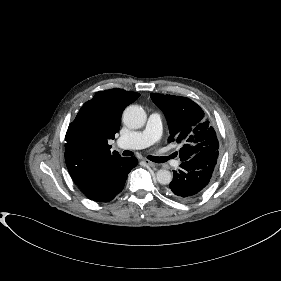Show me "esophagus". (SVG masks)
Masks as SVG:
<instances>
[{
  "label": "esophagus",
  "mask_w": 281,
  "mask_h": 281,
  "mask_svg": "<svg viewBox=\"0 0 281 281\" xmlns=\"http://www.w3.org/2000/svg\"><path fill=\"white\" fill-rule=\"evenodd\" d=\"M144 163L147 165V166H150V167H155L156 166V163L152 162V161H149V160H144Z\"/></svg>",
  "instance_id": "34e87169"
}]
</instances>
